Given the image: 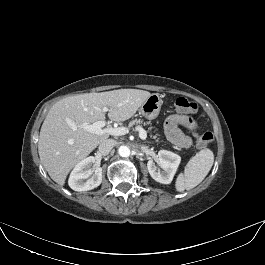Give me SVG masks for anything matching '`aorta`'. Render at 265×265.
<instances>
[{"instance_id": "obj_1", "label": "aorta", "mask_w": 265, "mask_h": 265, "mask_svg": "<svg viewBox=\"0 0 265 265\" xmlns=\"http://www.w3.org/2000/svg\"><path fill=\"white\" fill-rule=\"evenodd\" d=\"M118 154L121 156V157H129L131 155V150L129 147L127 146H120L118 148Z\"/></svg>"}]
</instances>
